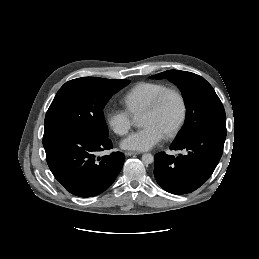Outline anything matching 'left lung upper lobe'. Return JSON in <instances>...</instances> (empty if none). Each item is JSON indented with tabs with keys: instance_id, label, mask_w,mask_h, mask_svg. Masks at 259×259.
Masks as SVG:
<instances>
[{
	"instance_id": "1",
	"label": "left lung upper lobe",
	"mask_w": 259,
	"mask_h": 259,
	"mask_svg": "<svg viewBox=\"0 0 259 259\" xmlns=\"http://www.w3.org/2000/svg\"><path fill=\"white\" fill-rule=\"evenodd\" d=\"M151 78H167L183 93L187 108L186 120L174 142H180L192 133L206 128L226 130L224 107L212 86L204 78L179 70H168Z\"/></svg>"
}]
</instances>
